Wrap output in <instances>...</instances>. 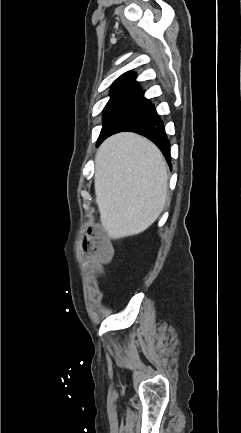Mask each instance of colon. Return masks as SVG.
I'll return each instance as SVG.
<instances>
[{
	"mask_svg": "<svg viewBox=\"0 0 241 433\" xmlns=\"http://www.w3.org/2000/svg\"><path fill=\"white\" fill-rule=\"evenodd\" d=\"M89 236L94 237V239L86 242L83 248L84 251L89 254L93 263L98 266L108 261L111 258L112 249L107 238L100 232H97L95 235L93 232H90Z\"/></svg>",
	"mask_w": 241,
	"mask_h": 433,
	"instance_id": "obj_1",
	"label": "colon"
}]
</instances>
